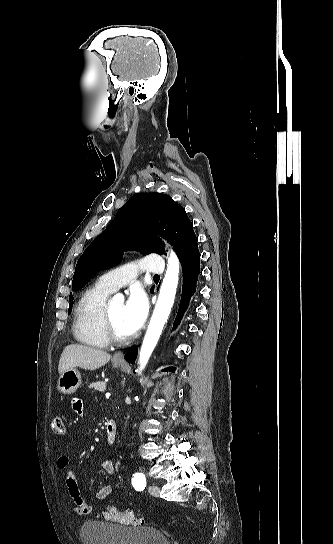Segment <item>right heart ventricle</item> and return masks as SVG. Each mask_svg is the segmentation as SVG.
Segmentation results:
<instances>
[{
	"label": "right heart ventricle",
	"instance_id": "right-heart-ventricle-1",
	"mask_svg": "<svg viewBox=\"0 0 333 544\" xmlns=\"http://www.w3.org/2000/svg\"><path fill=\"white\" fill-rule=\"evenodd\" d=\"M111 293L97 282L82 294L75 307L73 322V333L79 342L96 348L108 346L103 315Z\"/></svg>",
	"mask_w": 333,
	"mask_h": 544
}]
</instances>
